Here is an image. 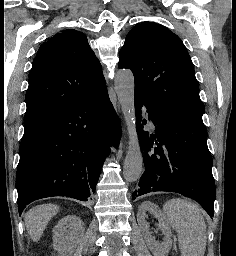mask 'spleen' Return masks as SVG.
I'll use <instances>...</instances> for the list:
<instances>
[{
  "label": "spleen",
  "instance_id": "spleen-1",
  "mask_svg": "<svg viewBox=\"0 0 236 256\" xmlns=\"http://www.w3.org/2000/svg\"><path fill=\"white\" fill-rule=\"evenodd\" d=\"M165 214L178 234L181 256H204L206 224L198 208L186 200H169L164 204Z\"/></svg>",
  "mask_w": 236,
  "mask_h": 256
}]
</instances>
